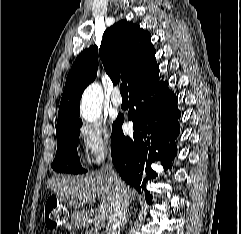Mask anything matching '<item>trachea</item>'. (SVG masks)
Here are the masks:
<instances>
[{"instance_id":"obj_1","label":"trachea","mask_w":241,"mask_h":234,"mask_svg":"<svg viewBox=\"0 0 241 234\" xmlns=\"http://www.w3.org/2000/svg\"><path fill=\"white\" fill-rule=\"evenodd\" d=\"M120 92H121L122 96H124V97L128 96V89H127V84L126 83L121 84Z\"/></svg>"}]
</instances>
